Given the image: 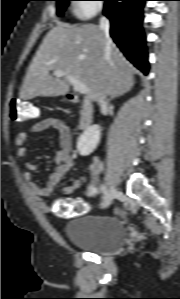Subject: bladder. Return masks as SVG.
Segmentation results:
<instances>
[{
    "label": "bladder",
    "mask_w": 180,
    "mask_h": 299,
    "mask_svg": "<svg viewBox=\"0 0 180 299\" xmlns=\"http://www.w3.org/2000/svg\"><path fill=\"white\" fill-rule=\"evenodd\" d=\"M67 240L88 252L106 254L118 251L125 243L124 223L113 216H80L64 229Z\"/></svg>",
    "instance_id": "31cf9c89"
}]
</instances>
